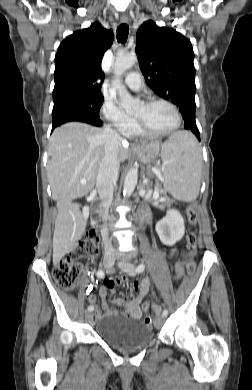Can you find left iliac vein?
<instances>
[{
    "mask_svg": "<svg viewBox=\"0 0 252 390\" xmlns=\"http://www.w3.org/2000/svg\"><path fill=\"white\" fill-rule=\"evenodd\" d=\"M117 264L122 271L126 272L130 276H135V266L132 265L128 260H120ZM156 313L159 320L165 318V315L160 314V308L156 310Z\"/></svg>",
    "mask_w": 252,
    "mask_h": 390,
    "instance_id": "1",
    "label": "left iliac vein"
}]
</instances>
